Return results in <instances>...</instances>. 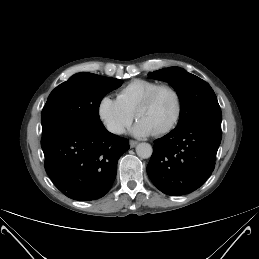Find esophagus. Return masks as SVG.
<instances>
[{
  "instance_id": "obj_1",
  "label": "esophagus",
  "mask_w": 259,
  "mask_h": 259,
  "mask_svg": "<svg viewBox=\"0 0 259 259\" xmlns=\"http://www.w3.org/2000/svg\"><path fill=\"white\" fill-rule=\"evenodd\" d=\"M137 144H138L137 141L130 140V147H131V148L135 147Z\"/></svg>"
}]
</instances>
